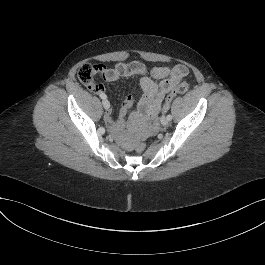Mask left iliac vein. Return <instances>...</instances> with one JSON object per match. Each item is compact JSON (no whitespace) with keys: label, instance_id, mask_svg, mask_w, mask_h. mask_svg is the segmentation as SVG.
Segmentation results:
<instances>
[{"label":"left iliac vein","instance_id":"obj_1","mask_svg":"<svg viewBox=\"0 0 265 265\" xmlns=\"http://www.w3.org/2000/svg\"><path fill=\"white\" fill-rule=\"evenodd\" d=\"M168 121L169 120L165 116H162L161 119H160L161 124L164 125V126L168 124Z\"/></svg>","mask_w":265,"mask_h":265}]
</instances>
